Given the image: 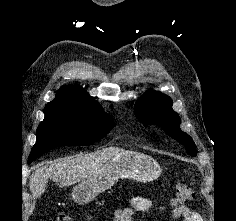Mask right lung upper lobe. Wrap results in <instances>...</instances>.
<instances>
[{"label": "right lung upper lobe", "instance_id": "right-lung-upper-lobe-1", "mask_svg": "<svg viewBox=\"0 0 236 221\" xmlns=\"http://www.w3.org/2000/svg\"><path fill=\"white\" fill-rule=\"evenodd\" d=\"M46 106H66L81 110L100 108L83 88L77 86H62L57 91L55 99Z\"/></svg>", "mask_w": 236, "mask_h": 221}]
</instances>
